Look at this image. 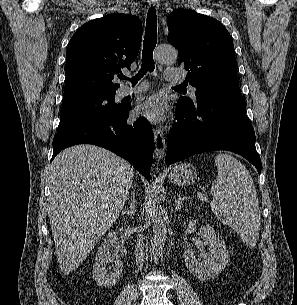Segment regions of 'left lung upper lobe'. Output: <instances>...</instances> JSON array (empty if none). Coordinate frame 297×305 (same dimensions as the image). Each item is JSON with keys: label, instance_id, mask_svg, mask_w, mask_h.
<instances>
[{"label": "left lung upper lobe", "instance_id": "5c2ea615", "mask_svg": "<svg viewBox=\"0 0 297 305\" xmlns=\"http://www.w3.org/2000/svg\"><path fill=\"white\" fill-rule=\"evenodd\" d=\"M167 24L168 41L178 49L179 65L188 70L186 80L197 88V100L239 84L233 41L219 21L193 10H174ZM179 100L194 103L188 97Z\"/></svg>", "mask_w": 297, "mask_h": 305}]
</instances>
